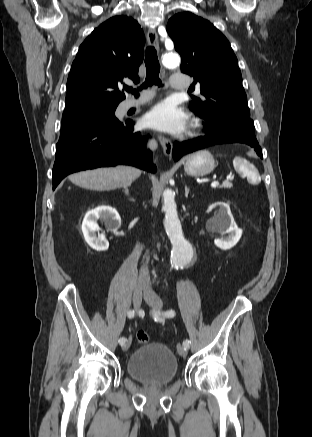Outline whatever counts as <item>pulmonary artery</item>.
Returning a JSON list of instances; mask_svg holds the SVG:
<instances>
[{
    "label": "pulmonary artery",
    "instance_id": "obj_1",
    "mask_svg": "<svg viewBox=\"0 0 312 437\" xmlns=\"http://www.w3.org/2000/svg\"><path fill=\"white\" fill-rule=\"evenodd\" d=\"M170 82H171L172 87L175 89H186L189 87V84H190L189 78L185 74H182V73L173 74ZM151 97H152V95L149 93L141 94L137 100L130 101L128 103V107L143 104L146 101H148Z\"/></svg>",
    "mask_w": 312,
    "mask_h": 437
}]
</instances>
